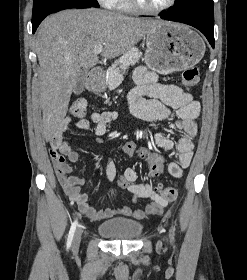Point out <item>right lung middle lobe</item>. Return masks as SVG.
Instances as JSON below:
<instances>
[{
	"label": "right lung middle lobe",
	"mask_w": 247,
	"mask_h": 280,
	"mask_svg": "<svg viewBox=\"0 0 247 280\" xmlns=\"http://www.w3.org/2000/svg\"><path fill=\"white\" fill-rule=\"evenodd\" d=\"M68 5L99 7L97 0H34L32 22L43 20L53 11Z\"/></svg>",
	"instance_id": "right-lung-middle-lobe-1"
}]
</instances>
